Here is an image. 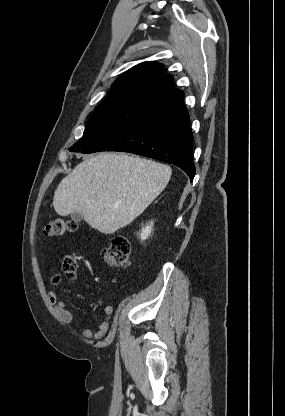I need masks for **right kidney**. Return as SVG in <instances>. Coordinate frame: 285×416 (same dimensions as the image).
<instances>
[{"label":"right kidney","instance_id":"ca27d5eb","mask_svg":"<svg viewBox=\"0 0 285 416\" xmlns=\"http://www.w3.org/2000/svg\"><path fill=\"white\" fill-rule=\"evenodd\" d=\"M153 228V222H150V224H147V226H144L141 230L140 238L141 240H147L148 236H150Z\"/></svg>","mask_w":285,"mask_h":416}]
</instances>
